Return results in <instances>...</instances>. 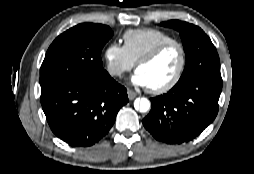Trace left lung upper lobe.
<instances>
[{"label":"left lung upper lobe","mask_w":254,"mask_h":174,"mask_svg":"<svg viewBox=\"0 0 254 174\" xmlns=\"http://www.w3.org/2000/svg\"><path fill=\"white\" fill-rule=\"evenodd\" d=\"M161 25L176 29L182 39L186 65L177 85L203 77L221 78L216 48L201 28L178 20L163 22Z\"/></svg>","instance_id":"left-lung-upper-lobe-1"}]
</instances>
